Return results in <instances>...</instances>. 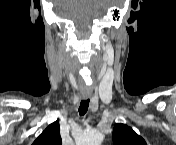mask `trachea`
<instances>
[{"label": "trachea", "instance_id": "1", "mask_svg": "<svg viewBox=\"0 0 176 145\" xmlns=\"http://www.w3.org/2000/svg\"><path fill=\"white\" fill-rule=\"evenodd\" d=\"M89 107V99L82 100L79 107V114L84 115Z\"/></svg>", "mask_w": 176, "mask_h": 145}]
</instances>
